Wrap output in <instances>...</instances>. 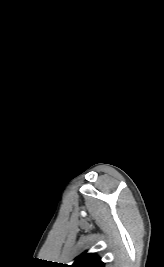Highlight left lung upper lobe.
I'll list each match as a JSON object with an SVG mask.
<instances>
[{"label":"left lung upper lobe","mask_w":164,"mask_h":267,"mask_svg":"<svg viewBox=\"0 0 164 267\" xmlns=\"http://www.w3.org/2000/svg\"><path fill=\"white\" fill-rule=\"evenodd\" d=\"M70 267H104V263L96 254H83L79 256Z\"/></svg>","instance_id":"left-lung-upper-lobe-1"}]
</instances>
